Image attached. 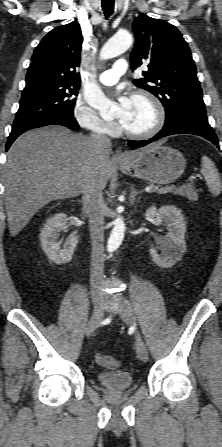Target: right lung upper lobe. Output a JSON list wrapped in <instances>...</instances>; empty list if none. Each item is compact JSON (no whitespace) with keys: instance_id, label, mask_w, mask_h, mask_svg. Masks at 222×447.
Here are the masks:
<instances>
[{"instance_id":"1","label":"right lung upper lobe","mask_w":222,"mask_h":447,"mask_svg":"<svg viewBox=\"0 0 222 447\" xmlns=\"http://www.w3.org/2000/svg\"><path fill=\"white\" fill-rule=\"evenodd\" d=\"M82 33L77 22L56 27L36 47L26 76V87L79 85Z\"/></svg>"}]
</instances>
